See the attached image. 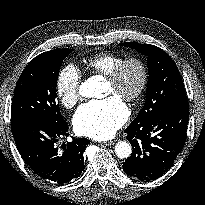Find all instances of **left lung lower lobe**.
I'll list each match as a JSON object with an SVG mask.
<instances>
[{
    "mask_svg": "<svg viewBox=\"0 0 205 205\" xmlns=\"http://www.w3.org/2000/svg\"><path fill=\"white\" fill-rule=\"evenodd\" d=\"M188 118V102H182L165 108L145 123L129 125L124 132L133 151L123 164L124 172L142 181L162 176L184 146Z\"/></svg>",
    "mask_w": 205,
    "mask_h": 205,
    "instance_id": "obj_1",
    "label": "left lung lower lobe"
}]
</instances>
